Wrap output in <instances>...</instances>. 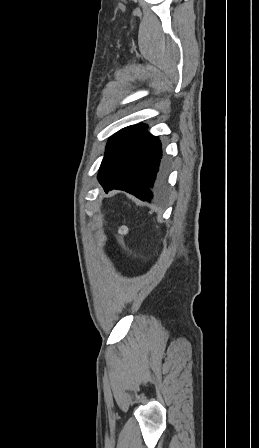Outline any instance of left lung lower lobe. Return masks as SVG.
I'll return each mask as SVG.
<instances>
[{
    "mask_svg": "<svg viewBox=\"0 0 259 448\" xmlns=\"http://www.w3.org/2000/svg\"><path fill=\"white\" fill-rule=\"evenodd\" d=\"M146 124L125 127L107 142L98 181L105 192L125 190L147 201L161 189L167 167L161 162V141L147 131Z\"/></svg>",
    "mask_w": 259,
    "mask_h": 448,
    "instance_id": "left-lung-lower-lobe-1",
    "label": "left lung lower lobe"
}]
</instances>
